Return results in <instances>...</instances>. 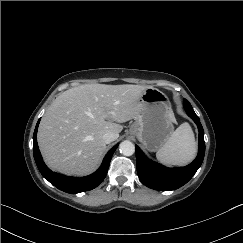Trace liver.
<instances>
[{
    "label": "liver",
    "instance_id": "obj_1",
    "mask_svg": "<svg viewBox=\"0 0 243 243\" xmlns=\"http://www.w3.org/2000/svg\"><path fill=\"white\" fill-rule=\"evenodd\" d=\"M146 89L130 84H84L60 94L38 129V145L46 164L68 175L93 172L106 150L103 134L113 132L119 137L120 123L135 118Z\"/></svg>",
    "mask_w": 243,
    "mask_h": 243
}]
</instances>
